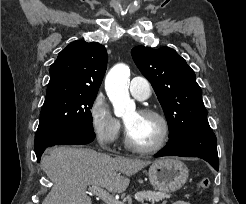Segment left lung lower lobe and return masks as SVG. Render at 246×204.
I'll list each match as a JSON object with an SVG mask.
<instances>
[{"mask_svg":"<svg viewBox=\"0 0 246 204\" xmlns=\"http://www.w3.org/2000/svg\"><path fill=\"white\" fill-rule=\"evenodd\" d=\"M217 139L209 125L186 130L170 138L167 146L155 155L199 157L211 164L218 171L219 160Z\"/></svg>","mask_w":246,"mask_h":204,"instance_id":"1","label":"left lung lower lobe"}]
</instances>
